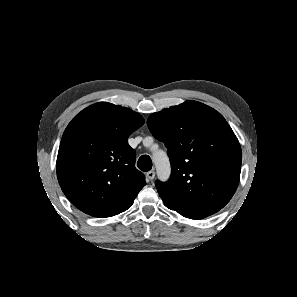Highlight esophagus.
<instances>
[{"instance_id": "obj_1", "label": "esophagus", "mask_w": 297, "mask_h": 297, "mask_svg": "<svg viewBox=\"0 0 297 297\" xmlns=\"http://www.w3.org/2000/svg\"><path fill=\"white\" fill-rule=\"evenodd\" d=\"M146 177H147V179L148 180H153L154 179V177H155V173H154V171H149V172H147L146 173Z\"/></svg>"}]
</instances>
